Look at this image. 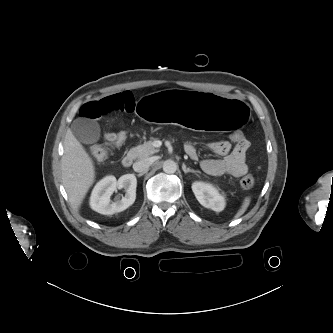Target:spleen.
Instances as JSON below:
<instances>
[{"label": "spleen", "instance_id": "spleen-1", "mask_svg": "<svg viewBox=\"0 0 333 333\" xmlns=\"http://www.w3.org/2000/svg\"><path fill=\"white\" fill-rule=\"evenodd\" d=\"M251 198L250 197H245L242 205L239 209V211L236 213L235 218H239L240 216H242L244 214V212L247 210L249 204H250Z\"/></svg>", "mask_w": 333, "mask_h": 333}]
</instances>
